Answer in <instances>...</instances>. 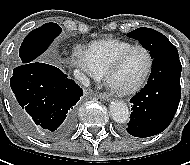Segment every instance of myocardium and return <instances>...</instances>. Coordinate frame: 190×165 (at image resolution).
Instances as JSON below:
<instances>
[{
  "mask_svg": "<svg viewBox=\"0 0 190 165\" xmlns=\"http://www.w3.org/2000/svg\"><path fill=\"white\" fill-rule=\"evenodd\" d=\"M135 49H142L143 51L146 52V54L148 56V66H147V69H146L144 75L136 84H134L130 87L121 88V87L114 85L112 83L113 75L116 73V71L121 66L126 55ZM153 65H154V57L152 55V52L144 45L134 44V45L124 49L122 52H120L117 55V57L114 59V61L111 63V65L109 66L108 70L105 73V81H106L107 85L116 93H118L120 95H130V94H133V93L139 91L144 86V84L146 83L147 79L149 78V76L152 72Z\"/></svg>",
  "mask_w": 190,
  "mask_h": 165,
  "instance_id": "1",
  "label": "myocardium"
}]
</instances>
